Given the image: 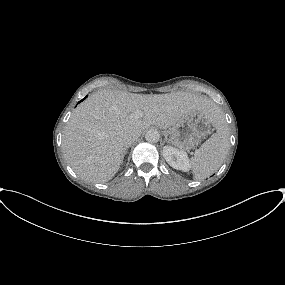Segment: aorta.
<instances>
[{
	"label": "aorta",
	"instance_id": "aorta-1",
	"mask_svg": "<svg viewBox=\"0 0 285 285\" xmlns=\"http://www.w3.org/2000/svg\"><path fill=\"white\" fill-rule=\"evenodd\" d=\"M145 139L149 143H157L160 139V134L156 129H149L145 134Z\"/></svg>",
	"mask_w": 285,
	"mask_h": 285
}]
</instances>
